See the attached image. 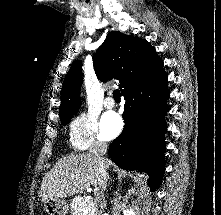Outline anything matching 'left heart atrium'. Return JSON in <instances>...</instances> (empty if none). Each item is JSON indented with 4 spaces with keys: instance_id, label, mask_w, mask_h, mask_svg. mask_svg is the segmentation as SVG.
<instances>
[{
    "instance_id": "39dd6f15",
    "label": "left heart atrium",
    "mask_w": 221,
    "mask_h": 215,
    "mask_svg": "<svg viewBox=\"0 0 221 215\" xmlns=\"http://www.w3.org/2000/svg\"><path fill=\"white\" fill-rule=\"evenodd\" d=\"M123 121L119 115L110 112L105 114L101 120V130L105 137L112 138L122 129Z\"/></svg>"
}]
</instances>
